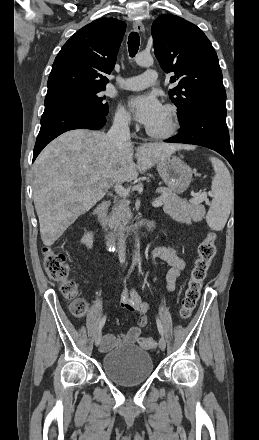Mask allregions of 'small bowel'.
<instances>
[{"mask_svg": "<svg viewBox=\"0 0 259 440\" xmlns=\"http://www.w3.org/2000/svg\"><path fill=\"white\" fill-rule=\"evenodd\" d=\"M150 256L152 258H159L170 265V269L165 277V288L167 292H172L175 289L176 283L182 272L185 270L186 263L184 259L181 257L178 250L169 245L153 248L150 252ZM120 304L124 310L133 312L137 315L138 326L132 327L125 334L117 336L106 334L101 343V349L103 351H108L120 345L134 344L141 334V327H145L148 323L147 312L149 310V305L141 299L136 290L130 285L123 289Z\"/></svg>", "mask_w": 259, "mask_h": 440, "instance_id": "small-bowel-1", "label": "small bowel"}]
</instances>
